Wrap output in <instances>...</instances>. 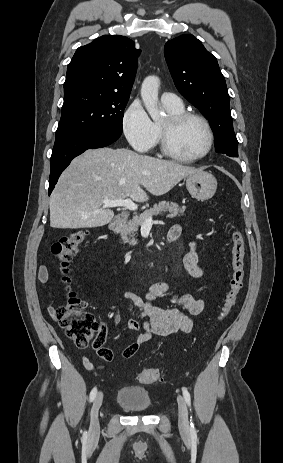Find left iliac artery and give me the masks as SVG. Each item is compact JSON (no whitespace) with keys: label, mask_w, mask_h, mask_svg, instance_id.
<instances>
[{"label":"left iliac artery","mask_w":283,"mask_h":463,"mask_svg":"<svg viewBox=\"0 0 283 463\" xmlns=\"http://www.w3.org/2000/svg\"><path fill=\"white\" fill-rule=\"evenodd\" d=\"M183 391V396H184V399L186 401V403L188 404V406H191V397H190V393L188 392V390L186 388H183L182 389ZM191 423H190V431H191V435L193 437H196V429H195V425L193 423L192 420H190Z\"/></svg>","instance_id":"obj_1"}]
</instances>
